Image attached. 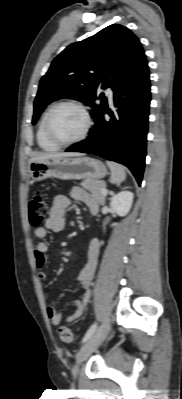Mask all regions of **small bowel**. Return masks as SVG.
Masks as SVG:
<instances>
[{
  "instance_id": "c3829d8e",
  "label": "small bowel",
  "mask_w": 182,
  "mask_h": 399,
  "mask_svg": "<svg viewBox=\"0 0 182 399\" xmlns=\"http://www.w3.org/2000/svg\"><path fill=\"white\" fill-rule=\"evenodd\" d=\"M70 198L82 202L91 211H97L99 207L97 198L79 187L72 188L69 197L66 195H56L52 199L50 213L44 225L34 231V236L37 239L44 240L48 231L61 232L65 229V214L70 205ZM47 250V244L43 241L37 243L34 250L35 263L40 270L39 278L41 280L47 279V273L44 270L47 264ZM99 250V241L97 239L92 240L89 244L88 261L77 276V280L85 290V294L82 300L74 301L76 311L65 319L66 322H72L80 318L85 312L91 295V283L97 267ZM47 316L53 326H58L62 321L63 311H58L55 307L48 306Z\"/></svg>"
}]
</instances>
